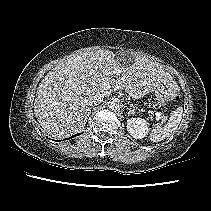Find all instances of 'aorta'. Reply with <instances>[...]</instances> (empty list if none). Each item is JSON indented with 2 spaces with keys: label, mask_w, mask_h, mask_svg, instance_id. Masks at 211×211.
Instances as JSON below:
<instances>
[{
  "label": "aorta",
  "mask_w": 211,
  "mask_h": 211,
  "mask_svg": "<svg viewBox=\"0 0 211 211\" xmlns=\"http://www.w3.org/2000/svg\"><path fill=\"white\" fill-rule=\"evenodd\" d=\"M108 108L111 110H116L119 108V101L117 99H111L108 102Z\"/></svg>",
  "instance_id": "obj_1"
}]
</instances>
